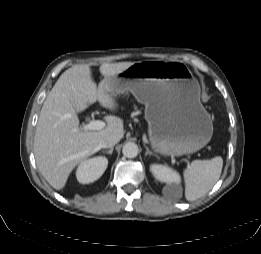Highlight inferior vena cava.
Returning a JSON list of instances; mask_svg holds the SVG:
<instances>
[{
	"label": "inferior vena cava",
	"mask_w": 261,
	"mask_h": 254,
	"mask_svg": "<svg viewBox=\"0 0 261 254\" xmlns=\"http://www.w3.org/2000/svg\"><path fill=\"white\" fill-rule=\"evenodd\" d=\"M119 141H120V137L118 135H115V134L107 135L101 140L100 147H102V148H112Z\"/></svg>",
	"instance_id": "inferior-vena-cava-1"
}]
</instances>
